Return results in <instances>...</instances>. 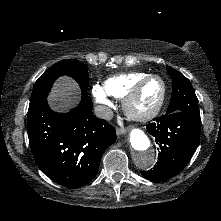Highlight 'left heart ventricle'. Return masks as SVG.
Wrapping results in <instances>:
<instances>
[{
  "mask_svg": "<svg viewBox=\"0 0 221 221\" xmlns=\"http://www.w3.org/2000/svg\"><path fill=\"white\" fill-rule=\"evenodd\" d=\"M162 92V84L158 79L149 80L141 90L134 103L136 111L145 112L152 109L158 102Z\"/></svg>",
  "mask_w": 221,
  "mask_h": 221,
  "instance_id": "b2bd125f",
  "label": "left heart ventricle"
}]
</instances>
